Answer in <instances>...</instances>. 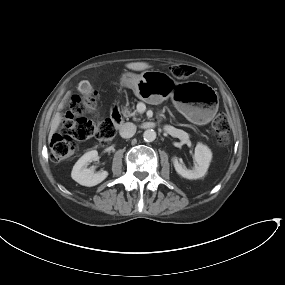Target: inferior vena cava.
I'll list each match as a JSON object with an SVG mask.
<instances>
[{
    "label": "inferior vena cava",
    "mask_w": 285,
    "mask_h": 285,
    "mask_svg": "<svg viewBox=\"0 0 285 285\" xmlns=\"http://www.w3.org/2000/svg\"><path fill=\"white\" fill-rule=\"evenodd\" d=\"M136 129L135 124L127 122L120 127L119 133L123 138H131L136 133Z\"/></svg>",
    "instance_id": "inferior-vena-cava-1"
}]
</instances>
